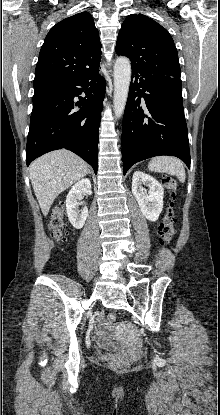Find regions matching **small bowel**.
I'll list each match as a JSON object with an SVG mask.
<instances>
[{
	"mask_svg": "<svg viewBox=\"0 0 220 415\" xmlns=\"http://www.w3.org/2000/svg\"><path fill=\"white\" fill-rule=\"evenodd\" d=\"M97 335V342L103 348H109L111 346V339L108 336L107 330L103 324H98L95 328Z\"/></svg>",
	"mask_w": 220,
	"mask_h": 415,
	"instance_id": "c3829d8e",
	"label": "small bowel"
}]
</instances>
